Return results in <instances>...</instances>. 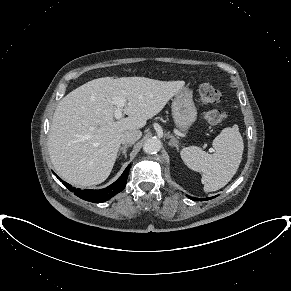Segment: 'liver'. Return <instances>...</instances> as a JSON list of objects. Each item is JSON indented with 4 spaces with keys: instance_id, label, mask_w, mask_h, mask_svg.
Returning <instances> with one entry per match:
<instances>
[{
    "instance_id": "1",
    "label": "liver",
    "mask_w": 291,
    "mask_h": 291,
    "mask_svg": "<svg viewBox=\"0 0 291 291\" xmlns=\"http://www.w3.org/2000/svg\"><path fill=\"white\" fill-rule=\"evenodd\" d=\"M183 81L103 77L89 81L58 103L48 136L57 174L76 186H92L110 175L122 133L138 130L181 89ZM114 96L123 97L126 118L114 120Z\"/></svg>"
}]
</instances>
